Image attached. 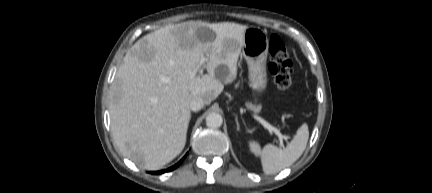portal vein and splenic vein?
<instances>
[{
    "label": "portal vein and splenic vein",
    "mask_w": 432,
    "mask_h": 193,
    "mask_svg": "<svg viewBox=\"0 0 432 193\" xmlns=\"http://www.w3.org/2000/svg\"><path fill=\"white\" fill-rule=\"evenodd\" d=\"M205 62V58L204 57H202L201 58V60H200V65L198 66V68H197V70H195L193 73H192V76H195L196 75V73L198 72V71H201V66H202V64ZM164 81L165 82H168V80L167 79H164ZM253 117L257 120V121H259L266 129H268V131L270 132V133H275L277 136H278V138H279V140H280V144H281V146L283 147L284 146V144H283V139H285V136L284 135H282L281 133H280V131L277 129V128H275L274 126H272L271 124H269L266 120H264L262 117H260V116H258V115H253Z\"/></svg>",
    "instance_id": "portal-vein-and-splenic-vein-1"
}]
</instances>
